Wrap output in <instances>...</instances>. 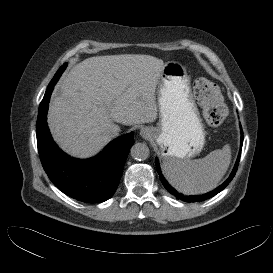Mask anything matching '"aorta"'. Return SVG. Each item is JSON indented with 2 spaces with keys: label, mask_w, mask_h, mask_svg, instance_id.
I'll list each match as a JSON object with an SVG mask.
<instances>
[{
  "label": "aorta",
  "mask_w": 273,
  "mask_h": 273,
  "mask_svg": "<svg viewBox=\"0 0 273 273\" xmlns=\"http://www.w3.org/2000/svg\"><path fill=\"white\" fill-rule=\"evenodd\" d=\"M130 154L135 160H146L150 154L149 148L145 143H136L131 147Z\"/></svg>",
  "instance_id": "762f6f07"
}]
</instances>
